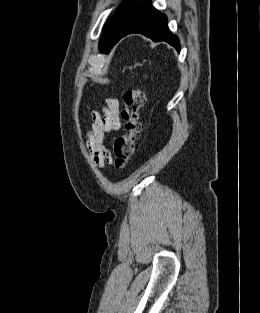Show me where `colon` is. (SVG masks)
<instances>
[{"label": "colon", "instance_id": "obj_1", "mask_svg": "<svg viewBox=\"0 0 260 313\" xmlns=\"http://www.w3.org/2000/svg\"><path fill=\"white\" fill-rule=\"evenodd\" d=\"M124 133L118 137L113 146V163L117 168H124L131 160L138 136L141 132L140 110L145 104V94L139 87L127 90L123 97Z\"/></svg>", "mask_w": 260, "mask_h": 313}]
</instances>
